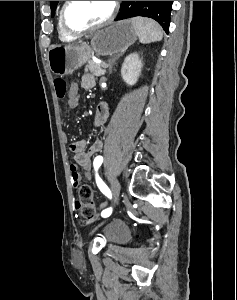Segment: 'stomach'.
<instances>
[{
  "mask_svg": "<svg viewBox=\"0 0 237 300\" xmlns=\"http://www.w3.org/2000/svg\"><path fill=\"white\" fill-rule=\"evenodd\" d=\"M137 41V35L131 21H117L105 25L91 35L90 45H53L47 53L50 71L64 77L71 75L81 65L90 61L92 55H116Z\"/></svg>",
  "mask_w": 237,
  "mask_h": 300,
  "instance_id": "0dacf381",
  "label": "stomach"
}]
</instances>
